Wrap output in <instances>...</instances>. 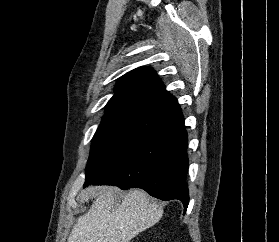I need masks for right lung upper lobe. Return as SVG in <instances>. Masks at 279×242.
<instances>
[{
	"instance_id": "obj_1",
	"label": "right lung upper lobe",
	"mask_w": 279,
	"mask_h": 242,
	"mask_svg": "<svg viewBox=\"0 0 279 242\" xmlns=\"http://www.w3.org/2000/svg\"><path fill=\"white\" fill-rule=\"evenodd\" d=\"M114 91L106 105V114L136 112L161 117L180 108L177 99L166 91L150 67H140L125 74Z\"/></svg>"
}]
</instances>
